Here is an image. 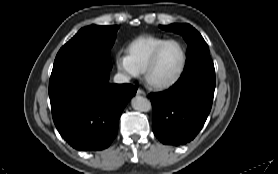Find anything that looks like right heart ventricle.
I'll return each mask as SVG.
<instances>
[{
  "instance_id": "e07e8e85",
  "label": "right heart ventricle",
  "mask_w": 278,
  "mask_h": 174,
  "mask_svg": "<svg viewBox=\"0 0 278 174\" xmlns=\"http://www.w3.org/2000/svg\"><path fill=\"white\" fill-rule=\"evenodd\" d=\"M164 41L165 39L158 37L141 36L128 46V57L139 73L144 72L151 54Z\"/></svg>"
}]
</instances>
